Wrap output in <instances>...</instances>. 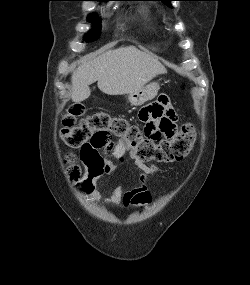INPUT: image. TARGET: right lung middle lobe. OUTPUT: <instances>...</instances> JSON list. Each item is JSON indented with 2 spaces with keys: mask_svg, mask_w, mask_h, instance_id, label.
Instances as JSON below:
<instances>
[{
  "mask_svg": "<svg viewBox=\"0 0 250 285\" xmlns=\"http://www.w3.org/2000/svg\"><path fill=\"white\" fill-rule=\"evenodd\" d=\"M88 19H89V21H91L94 24H96V29L90 31L88 33V35L85 36L84 40H86V42H93V41H95V40H97L99 38L100 33H101L100 25H99L100 18L97 15H95V14H91V15H89Z\"/></svg>",
  "mask_w": 250,
  "mask_h": 285,
  "instance_id": "obj_1",
  "label": "right lung middle lobe"
}]
</instances>
